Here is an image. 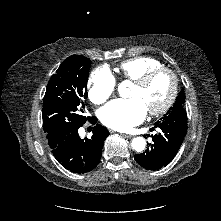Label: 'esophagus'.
Listing matches in <instances>:
<instances>
[{
    "label": "esophagus",
    "instance_id": "obj_1",
    "mask_svg": "<svg viewBox=\"0 0 221 221\" xmlns=\"http://www.w3.org/2000/svg\"><path fill=\"white\" fill-rule=\"evenodd\" d=\"M124 137L126 138H132L133 136L132 135H129V134H123Z\"/></svg>",
    "mask_w": 221,
    "mask_h": 221
}]
</instances>
